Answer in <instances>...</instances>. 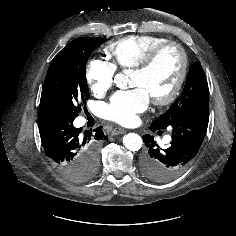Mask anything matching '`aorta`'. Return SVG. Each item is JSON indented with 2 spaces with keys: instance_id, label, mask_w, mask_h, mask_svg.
<instances>
[{
  "instance_id": "762f6f07",
  "label": "aorta",
  "mask_w": 236,
  "mask_h": 236,
  "mask_svg": "<svg viewBox=\"0 0 236 236\" xmlns=\"http://www.w3.org/2000/svg\"><path fill=\"white\" fill-rule=\"evenodd\" d=\"M127 73L128 71H123L115 75L114 82L118 88L124 89L127 87ZM123 144L130 151H138L141 149L143 141L138 134L128 133L123 137Z\"/></svg>"
}]
</instances>
